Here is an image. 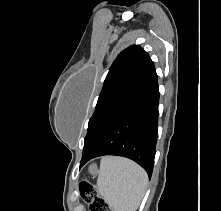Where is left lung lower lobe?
<instances>
[{"mask_svg":"<svg viewBox=\"0 0 221 211\" xmlns=\"http://www.w3.org/2000/svg\"><path fill=\"white\" fill-rule=\"evenodd\" d=\"M159 89L155 68L138 94L82 156L80 167L92 158L117 155L132 159L152 175L158 128Z\"/></svg>","mask_w":221,"mask_h":211,"instance_id":"1","label":"left lung lower lobe"}]
</instances>
